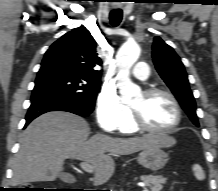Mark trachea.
I'll use <instances>...</instances> for the list:
<instances>
[{
  "label": "trachea",
  "mask_w": 218,
  "mask_h": 191,
  "mask_svg": "<svg viewBox=\"0 0 218 191\" xmlns=\"http://www.w3.org/2000/svg\"><path fill=\"white\" fill-rule=\"evenodd\" d=\"M109 18L112 26H118L122 20V10H112L110 12Z\"/></svg>",
  "instance_id": "3493384b"
}]
</instances>
